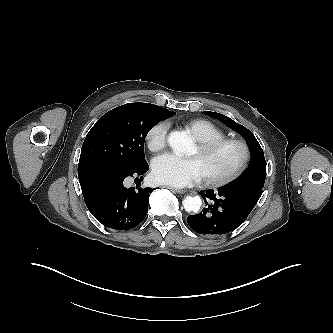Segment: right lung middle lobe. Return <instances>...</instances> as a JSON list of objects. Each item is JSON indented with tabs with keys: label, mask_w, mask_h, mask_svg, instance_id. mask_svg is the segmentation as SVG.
Listing matches in <instances>:
<instances>
[{
	"label": "right lung middle lobe",
	"mask_w": 333,
	"mask_h": 333,
	"mask_svg": "<svg viewBox=\"0 0 333 333\" xmlns=\"http://www.w3.org/2000/svg\"><path fill=\"white\" fill-rule=\"evenodd\" d=\"M173 115L138 104H125L107 112L87 134L78 166L110 163L126 169L141 168L147 163L144 157L147 133L159 121Z\"/></svg>",
	"instance_id": "right-lung-middle-lobe-1"
}]
</instances>
